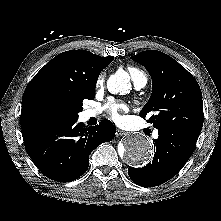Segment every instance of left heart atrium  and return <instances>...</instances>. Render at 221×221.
I'll return each instance as SVG.
<instances>
[{"mask_svg":"<svg viewBox=\"0 0 221 221\" xmlns=\"http://www.w3.org/2000/svg\"><path fill=\"white\" fill-rule=\"evenodd\" d=\"M105 109L113 121L120 122L121 121L120 113L123 111H126L128 109V107L123 102L110 100L105 105Z\"/></svg>","mask_w":221,"mask_h":221,"instance_id":"obj_1","label":"left heart atrium"}]
</instances>
